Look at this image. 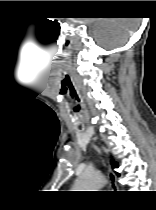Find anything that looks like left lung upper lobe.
<instances>
[{
	"instance_id": "left-lung-upper-lobe-1",
	"label": "left lung upper lobe",
	"mask_w": 156,
	"mask_h": 210,
	"mask_svg": "<svg viewBox=\"0 0 156 210\" xmlns=\"http://www.w3.org/2000/svg\"><path fill=\"white\" fill-rule=\"evenodd\" d=\"M112 165H113L114 168L118 167V164L116 162H114V161H112Z\"/></svg>"
}]
</instances>
